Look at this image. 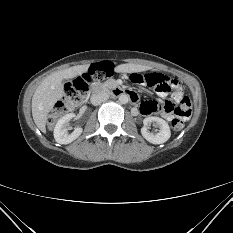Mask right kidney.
Returning a JSON list of instances; mask_svg holds the SVG:
<instances>
[{
    "label": "right kidney",
    "mask_w": 233,
    "mask_h": 233,
    "mask_svg": "<svg viewBox=\"0 0 233 233\" xmlns=\"http://www.w3.org/2000/svg\"><path fill=\"white\" fill-rule=\"evenodd\" d=\"M74 117L75 114L69 113L64 115L56 123L54 128V138L57 143L69 144L81 135L83 131L81 127H77L72 133H69V130L71 129L69 122Z\"/></svg>",
    "instance_id": "obj_1"
}]
</instances>
